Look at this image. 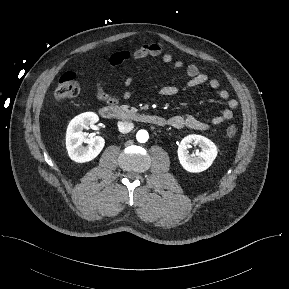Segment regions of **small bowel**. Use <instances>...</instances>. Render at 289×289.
I'll return each mask as SVG.
<instances>
[{"instance_id":"1","label":"small bowel","mask_w":289,"mask_h":289,"mask_svg":"<svg viewBox=\"0 0 289 289\" xmlns=\"http://www.w3.org/2000/svg\"><path fill=\"white\" fill-rule=\"evenodd\" d=\"M147 57H160L163 63L172 64L178 69L184 66L182 61L174 60L171 54L165 53L162 46L158 43H148L133 49L117 51L109 57L108 63L110 67H116L126 61L139 60ZM185 71L188 76V81L182 87L166 85L160 88L159 94L163 97H172L182 90L201 85H208L213 90H218L220 88V82L217 79L209 78L195 64L187 65ZM94 88L102 99L110 102L117 100V97H108L104 93L101 80L98 79L94 82ZM130 96L131 93L129 91H126L123 94L124 98H129ZM218 96L220 99L227 101V107L219 115L214 116L208 121L200 120L192 115H175L168 119V124L176 129L189 128L193 130H206L211 126L220 125L232 119L234 110L239 106L238 101L230 98L229 92L225 89H219Z\"/></svg>"}]
</instances>
